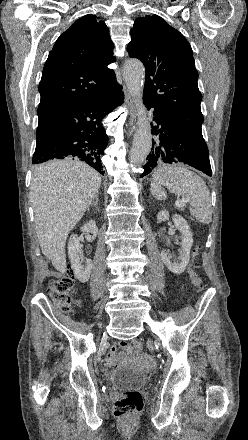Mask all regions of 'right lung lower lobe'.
I'll return each instance as SVG.
<instances>
[{
    "mask_svg": "<svg viewBox=\"0 0 248 440\" xmlns=\"http://www.w3.org/2000/svg\"><path fill=\"white\" fill-rule=\"evenodd\" d=\"M121 90L115 80L99 96L76 100L39 117L32 164L54 158L77 157L104 174L101 157L108 138L102 120L123 103Z\"/></svg>",
    "mask_w": 248,
    "mask_h": 440,
    "instance_id": "1",
    "label": "right lung lower lobe"
}]
</instances>
